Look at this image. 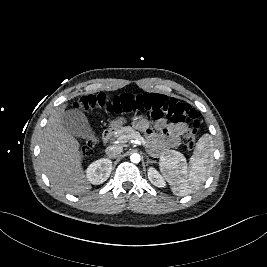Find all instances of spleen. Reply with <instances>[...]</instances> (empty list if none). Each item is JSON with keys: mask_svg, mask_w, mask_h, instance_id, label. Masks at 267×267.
Instances as JSON below:
<instances>
[{"mask_svg": "<svg viewBox=\"0 0 267 267\" xmlns=\"http://www.w3.org/2000/svg\"><path fill=\"white\" fill-rule=\"evenodd\" d=\"M173 160L160 162L163 176L171 185L172 192L185 196L198 190L209 176L213 163V141L209 134L202 135L187 166L184 156L176 151Z\"/></svg>", "mask_w": 267, "mask_h": 267, "instance_id": "1", "label": "spleen"}]
</instances>
